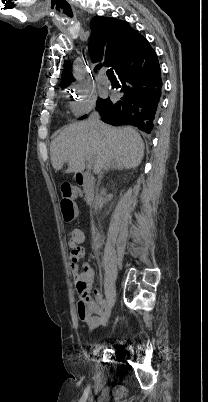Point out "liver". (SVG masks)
Masks as SVG:
<instances>
[{"mask_svg": "<svg viewBox=\"0 0 208 402\" xmlns=\"http://www.w3.org/2000/svg\"><path fill=\"white\" fill-rule=\"evenodd\" d=\"M109 146L111 162L108 166H117L118 170H130L141 164L144 156V142L133 128H110L102 124L100 128L90 126L88 122H76L70 124L60 132L51 142V164L58 172L63 164L68 162L69 168L66 174L82 172L85 170V158H90L95 166L94 172H100L98 168V156ZM114 166V168H115Z\"/></svg>", "mask_w": 208, "mask_h": 402, "instance_id": "obj_1", "label": "liver"}]
</instances>
